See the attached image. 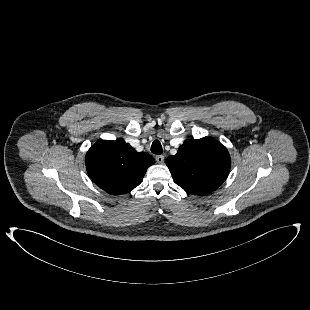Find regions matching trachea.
<instances>
[{"instance_id": "trachea-1", "label": "trachea", "mask_w": 310, "mask_h": 310, "mask_svg": "<svg viewBox=\"0 0 310 310\" xmlns=\"http://www.w3.org/2000/svg\"><path fill=\"white\" fill-rule=\"evenodd\" d=\"M151 152L157 155L162 154L163 152L162 145L158 140L153 141L151 145Z\"/></svg>"}]
</instances>
